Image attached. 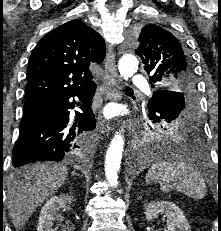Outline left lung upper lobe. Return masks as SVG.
<instances>
[{
    "label": "left lung upper lobe",
    "instance_id": "left-lung-upper-lobe-1",
    "mask_svg": "<svg viewBox=\"0 0 221 231\" xmlns=\"http://www.w3.org/2000/svg\"><path fill=\"white\" fill-rule=\"evenodd\" d=\"M134 39L137 44L135 52L142 59L145 71L150 74L152 87L173 92L174 103H179L176 106L157 105L149 100L152 119L157 122L156 119L166 113L178 117L185 103L193 105L196 102L195 75L185 45L171 32L152 23L138 29Z\"/></svg>",
    "mask_w": 221,
    "mask_h": 231
}]
</instances>
